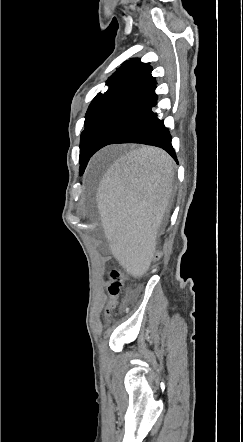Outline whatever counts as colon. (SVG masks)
<instances>
[{
  "label": "colon",
  "instance_id": "5ec220e1",
  "mask_svg": "<svg viewBox=\"0 0 243 442\" xmlns=\"http://www.w3.org/2000/svg\"><path fill=\"white\" fill-rule=\"evenodd\" d=\"M166 243L157 246L156 250L152 251L150 260L152 262L158 263L161 261V256L166 252ZM147 270H151L153 265L150 261H147L145 265ZM107 273L109 276V284L107 287L108 300L105 307V317L110 318L112 312L118 304V299L123 297L124 286L127 285L128 280L132 276L130 269H125L124 265L121 267L111 266L107 268Z\"/></svg>",
  "mask_w": 243,
  "mask_h": 442
}]
</instances>
